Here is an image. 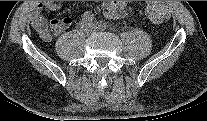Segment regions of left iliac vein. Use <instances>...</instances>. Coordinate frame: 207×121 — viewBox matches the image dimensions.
<instances>
[{"label":"left iliac vein","mask_w":207,"mask_h":121,"mask_svg":"<svg viewBox=\"0 0 207 121\" xmlns=\"http://www.w3.org/2000/svg\"><path fill=\"white\" fill-rule=\"evenodd\" d=\"M103 30H105V29L104 28H101L99 26H95L94 27V31H103Z\"/></svg>","instance_id":"1"}]
</instances>
